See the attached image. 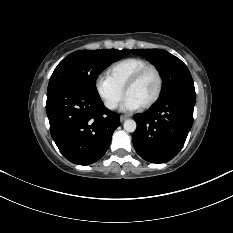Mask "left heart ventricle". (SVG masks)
<instances>
[{
    "label": "left heart ventricle",
    "mask_w": 233,
    "mask_h": 233,
    "mask_svg": "<svg viewBox=\"0 0 233 233\" xmlns=\"http://www.w3.org/2000/svg\"><path fill=\"white\" fill-rule=\"evenodd\" d=\"M157 86L156 74L153 71H149L136 85L128 90L126 96L131 97L142 106L154 96Z\"/></svg>",
    "instance_id": "obj_1"
}]
</instances>
